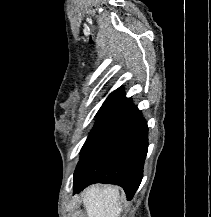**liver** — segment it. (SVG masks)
I'll list each match as a JSON object with an SVG mask.
<instances>
[{"instance_id": "obj_1", "label": "liver", "mask_w": 211, "mask_h": 217, "mask_svg": "<svg viewBox=\"0 0 211 217\" xmlns=\"http://www.w3.org/2000/svg\"><path fill=\"white\" fill-rule=\"evenodd\" d=\"M119 188L91 186L83 194L87 217H120Z\"/></svg>"}]
</instances>
